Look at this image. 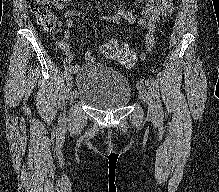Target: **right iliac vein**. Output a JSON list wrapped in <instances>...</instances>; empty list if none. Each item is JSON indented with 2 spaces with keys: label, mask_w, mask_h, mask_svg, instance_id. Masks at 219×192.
Returning a JSON list of instances; mask_svg holds the SVG:
<instances>
[{
  "label": "right iliac vein",
  "mask_w": 219,
  "mask_h": 192,
  "mask_svg": "<svg viewBox=\"0 0 219 192\" xmlns=\"http://www.w3.org/2000/svg\"><path fill=\"white\" fill-rule=\"evenodd\" d=\"M72 87H73V83H72V81H68L67 82V88H68V90L70 91L69 92V95H68V100L70 101V102H73L74 100H75V98H76V94H75V92L72 90Z\"/></svg>",
  "instance_id": "right-iliac-vein-1"
}]
</instances>
